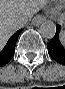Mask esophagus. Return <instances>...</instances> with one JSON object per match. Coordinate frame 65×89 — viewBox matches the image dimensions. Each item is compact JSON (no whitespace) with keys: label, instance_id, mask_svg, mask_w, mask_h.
I'll use <instances>...</instances> for the list:
<instances>
[{"label":"esophagus","instance_id":"obj_1","mask_svg":"<svg viewBox=\"0 0 65 89\" xmlns=\"http://www.w3.org/2000/svg\"><path fill=\"white\" fill-rule=\"evenodd\" d=\"M44 20L45 17H43L42 15H37L33 18L32 24L35 26H39Z\"/></svg>","mask_w":65,"mask_h":89}]
</instances>
